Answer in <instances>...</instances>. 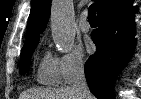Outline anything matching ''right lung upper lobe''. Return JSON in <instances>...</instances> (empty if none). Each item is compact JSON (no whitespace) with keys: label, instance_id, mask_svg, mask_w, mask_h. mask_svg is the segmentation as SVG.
<instances>
[{"label":"right lung upper lobe","instance_id":"1","mask_svg":"<svg viewBox=\"0 0 141 99\" xmlns=\"http://www.w3.org/2000/svg\"><path fill=\"white\" fill-rule=\"evenodd\" d=\"M98 2V12L108 3L109 0H96ZM51 10V0H33L30 16L28 20L26 43H35L39 40L49 20Z\"/></svg>","mask_w":141,"mask_h":99}]
</instances>
